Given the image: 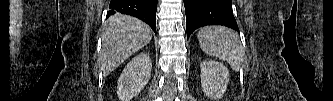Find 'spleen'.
<instances>
[{
	"instance_id": "spleen-1",
	"label": "spleen",
	"mask_w": 333,
	"mask_h": 101,
	"mask_svg": "<svg viewBox=\"0 0 333 101\" xmlns=\"http://www.w3.org/2000/svg\"><path fill=\"white\" fill-rule=\"evenodd\" d=\"M197 38L206 54L227 61L237 72L241 69L245 53L233 30L221 26L204 27L198 32Z\"/></svg>"
}]
</instances>
